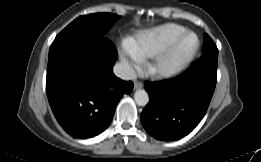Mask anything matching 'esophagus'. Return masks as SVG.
<instances>
[{"instance_id": "34e87169", "label": "esophagus", "mask_w": 261, "mask_h": 162, "mask_svg": "<svg viewBox=\"0 0 261 162\" xmlns=\"http://www.w3.org/2000/svg\"><path fill=\"white\" fill-rule=\"evenodd\" d=\"M143 87V83L140 82V81H135L134 82V89L137 90V89H141Z\"/></svg>"}]
</instances>
